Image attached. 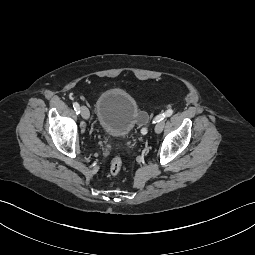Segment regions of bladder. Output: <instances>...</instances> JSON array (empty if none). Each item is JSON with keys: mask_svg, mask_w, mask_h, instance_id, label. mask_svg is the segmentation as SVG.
Wrapping results in <instances>:
<instances>
[{"mask_svg": "<svg viewBox=\"0 0 255 255\" xmlns=\"http://www.w3.org/2000/svg\"><path fill=\"white\" fill-rule=\"evenodd\" d=\"M96 120L107 135L120 138L128 135L140 123L136 99L123 89H107L96 102Z\"/></svg>", "mask_w": 255, "mask_h": 255, "instance_id": "1", "label": "bladder"}]
</instances>
